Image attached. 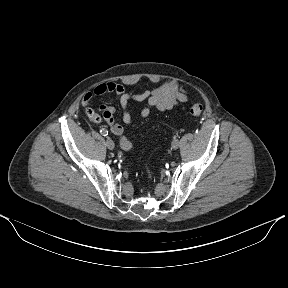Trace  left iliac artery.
I'll use <instances>...</instances> for the list:
<instances>
[{
    "label": "left iliac artery",
    "instance_id": "left-iliac-artery-1",
    "mask_svg": "<svg viewBox=\"0 0 288 288\" xmlns=\"http://www.w3.org/2000/svg\"><path fill=\"white\" fill-rule=\"evenodd\" d=\"M173 139L174 140H179L180 139V134L179 133H174L173 134Z\"/></svg>",
    "mask_w": 288,
    "mask_h": 288
}]
</instances>
